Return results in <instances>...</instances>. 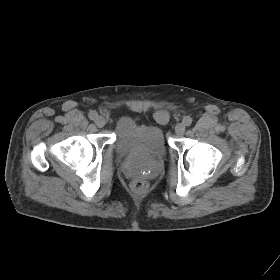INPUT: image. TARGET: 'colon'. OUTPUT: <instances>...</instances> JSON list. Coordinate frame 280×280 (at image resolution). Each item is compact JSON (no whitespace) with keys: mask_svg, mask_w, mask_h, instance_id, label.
I'll return each instance as SVG.
<instances>
[{"mask_svg":"<svg viewBox=\"0 0 280 280\" xmlns=\"http://www.w3.org/2000/svg\"><path fill=\"white\" fill-rule=\"evenodd\" d=\"M132 187L136 192H144L147 189V183L143 179H136L133 181Z\"/></svg>","mask_w":280,"mask_h":280,"instance_id":"5ec220e1","label":"colon"}]
</instances>
